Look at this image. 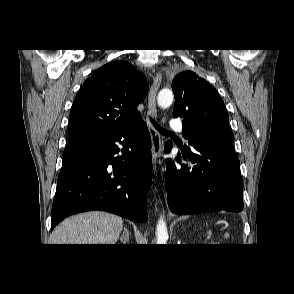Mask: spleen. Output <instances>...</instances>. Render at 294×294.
I'll list each match as a JSON object with an SVG mask.
<instances>
[{"mask_svg":"<svg viewBox=\"0 0 294 294\" xmlns=\"http://www.w3.org/2000/svg\"><path fill=\"white\" fill-rule=\"evenodd\" d=\"M225 237H228V233L225 234Z\"/></svg>","mask_w":294,"mask_h":294,"instance_id":"3e777b00","label":"spleen"}]
</instances>
